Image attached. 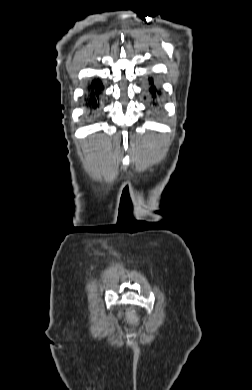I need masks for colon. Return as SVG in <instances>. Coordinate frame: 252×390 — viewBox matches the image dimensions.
<instances>
[{"label": "colon", "mask_w": 252, "mask_h": 390, "mask_svg": "<svg viewBox=\"0 0 252 390\" xmlns=\"http://www.w3.org/2000/svg\"><path fill=\"white\" fill-rule=\"evenodd\" d=\"M127 318L129 319V321H131L132 323H137L139 321V318L138 316L136 315V313L134 312L133 308H128L127 309Z\"/></svg>", "instance_id": "5ec220e1"}]
</instances>
